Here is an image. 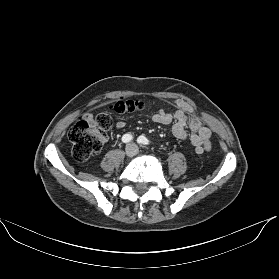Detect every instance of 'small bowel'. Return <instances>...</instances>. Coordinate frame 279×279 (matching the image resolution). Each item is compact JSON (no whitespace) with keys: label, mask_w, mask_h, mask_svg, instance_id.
I'll return each instance as SVG.
<instances>
[{"label":"small bowel","mask_w":279,"mask_h":279,"mask_svg":"<svg viewBox=\"0 0 279 279\" xmlns=\"http://www.w3.org/2000/svg\"><path fill=\"white\" fill-rule=\"evenodd\" d=\"M174 110L159 109L153 116L152 120L156 123L168 125L173 123V135L181 140L187 141L193 147L197 154H202L205 150V141H210V130L195 116L192 115V108L183 100H176ZM85 119L93 120V115L87 113ZM125 126L124 122H118L116 129H121ZM186 127L190 129L188 135Z\"/></svg>","instance_id":"1"}]
</instances>
